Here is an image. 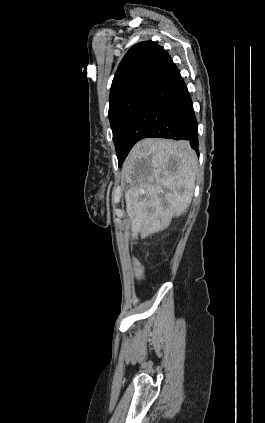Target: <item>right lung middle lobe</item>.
<instances>
[{
	"label": "right lung middle lobe",
	"instance_id": "obj_1",
	"mask_svg": "<svg viewBox=\"0 0 265 423\" xmlns=\"http://www.w3.org/2000/svg\"><path fill=\"white\" fill-rule=\"evenodd\" d=\"M148 93L136 92L129 94L109 106V120L113 132V140L116 147L119 166L126 158L121 145V137L123 130L129 123L130 119L141 105Z\"/></svg>",
	"mask_w": 265,
	"mask_h": 423
}]
</instances>
